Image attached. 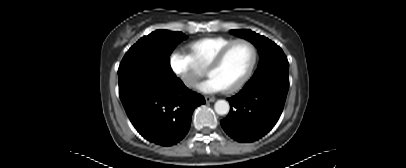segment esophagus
<instances>
[{
  "label": "esophagus",
  "mask_w": 406,
  "mask_h": 168,
  "mask_svg": "<svg viewBox=\"0 0 406 168\" xmlns=\"http://www.w3.org/2000/svg\"><path fill=\"white\" fill-rule=\"evenodd\" d=\"M205 101H206L207 103H209V102H214V101H215V98H214V97H211V96H206V97H205Z\"/></svg>",
  "instance_id": "1"
}]
</instances>
